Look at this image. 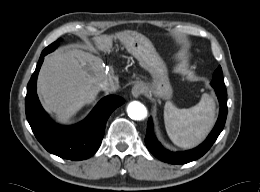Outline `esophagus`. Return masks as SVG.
Listing matches in <instances>:
<instances>
[{
  "label": "esophagus",
  "mask_w": 260,
  "mask_h": 192,
  "mask_svg": "<svg viewBox=\"0 0 260 192\" xmlns=\"http://www.w3.org/2000/svg\"><path fill=\"white\" fill-rule=\"evenodd\" d=\"M131 92L135 98H138L144 92V86L140 83L135 84Z\"/></svg>",
  "instance_id": "obj_1"
}]
</instances>
